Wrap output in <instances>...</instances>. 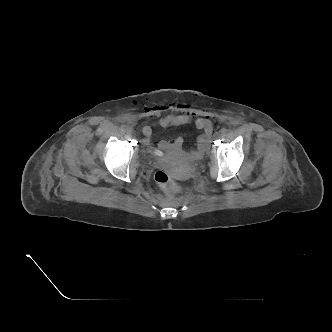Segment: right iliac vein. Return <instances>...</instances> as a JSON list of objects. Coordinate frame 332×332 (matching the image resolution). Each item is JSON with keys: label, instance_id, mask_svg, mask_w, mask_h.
Returning a JSON list of instances; mask_svg holds the SVG:
<instances>
[{"label": "right iliac vein", "instance_id": "right-iliac-vein-1", "mask_svg": "<svg viewBox=\"0 0 332 332\" xmlns=\"http://www.w3.org/2000/svg\"><path fill=\"white\" fill-rule=\"evenodd\" d=\"M128 133L133 134V130H132V129H129V130H128Z\"/></svg>", "mask_w": 332, "mask_h": 332}]
</instances>
